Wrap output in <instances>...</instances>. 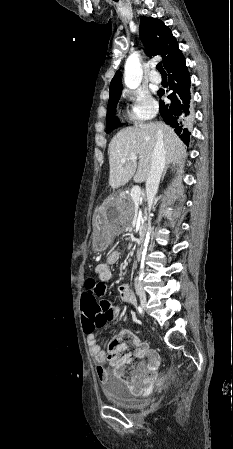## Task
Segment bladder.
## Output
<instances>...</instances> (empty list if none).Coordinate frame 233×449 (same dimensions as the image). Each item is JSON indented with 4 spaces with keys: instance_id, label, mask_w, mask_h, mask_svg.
Instances as JSON below:
<instances>
[{
    "instance_id": "bladder-1",
    "label": "bladder",
    "mask_w": 233,
    "mask_h": 449,
    "mask_svg": "<svg viewBox=\"0 0 233 449\" xmlns=\"http://www.w3.org/2000/svg\"><path fill=\"white\" fill-rule=\"evenodd\" d=\"M104 394L117 408L132 410L146 405V400L135 397L129 387L114 381L106 385Z\"/></svg>"
}]
</instances>
